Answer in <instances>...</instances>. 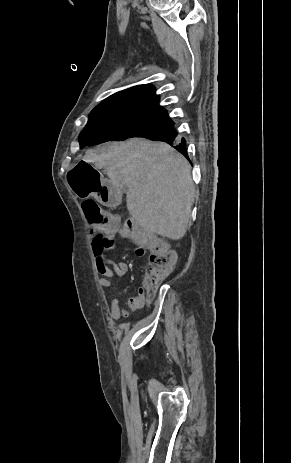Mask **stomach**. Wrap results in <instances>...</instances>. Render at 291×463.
Returning a JSON list of instances; mask_svg holds the SVG:
<instances>
[{
    "mask_svg": "<svg viewBox=\"0 0 291 463\" xmlns=\"http://www.w3.org/2000/svg\"><path fill=\"white\" fill-rule=\"evenodd\" d=\"M78 163L79 165L66 176V181L74 193L79 198L94 196L105 206L116 205L120 197L118 188L104 180L97 169L86 163L83 158H80Z\"/></svg>",
    "mask_w": 291,
    "mask_h": 463,
    "instance_id": "0dacf381",
    "label": "stomach"
}]
</instances>
